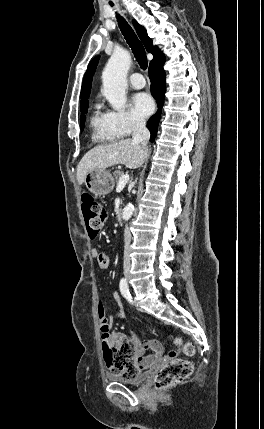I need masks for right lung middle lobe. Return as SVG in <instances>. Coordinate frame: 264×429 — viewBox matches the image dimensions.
<instances>
[{
	"instance_id": "right-lung-middle-lobe-1",
	"label": "right lung middle lobe",
	"mask_w": 264,
	"mask_h": 429,
	"mask_svg": "<svg viewBox=\"0 0 264 429\" xmlns=\"http://www.w3.org/2000/svg\"><path fill=\"white\" fill-rule=\"evenodd\" d=\"M87 109H88V104L81 106V112L83 113L81 115V118H80V127H81V130H83V128H84V122H85L84 113H87Z\"/></svg>"
}]
</instances>
